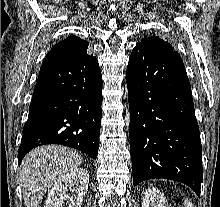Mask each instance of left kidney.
Here are the masks:
<instances>
[{
    "label": "left kidney",
    "instance_id": "obj_1",
    "mask_svg": "<svg viewBox=\"0 0 220 207\" xmlns=\"http://www.w3.org/2000/svg\"><path fill=\"white\" fill-rule=\"evenodd\" d=\"M142 207H166L165 198L157 188H148L144 192Z\"/></svg>",
    "mask_w": 220,
    "mask_h": 207
}]
</instances>
